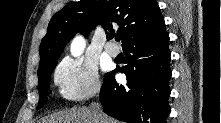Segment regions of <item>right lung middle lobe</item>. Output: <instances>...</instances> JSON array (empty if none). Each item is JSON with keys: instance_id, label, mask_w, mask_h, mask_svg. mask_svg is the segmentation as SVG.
<instances>
[{"instance_id": "dd1d6c3e", "label": "right lung middle lobe", "mask_w": 221, "mask_h": 123, "mask_svg": "<svg viewBox=\"0 0 221 123\" xmlns=\"http://www.w3.org/2000/svg\"><path fill=\"white\" fill-rule=\"evenodd\" d=\"M56 64L57 61L55 60L52 61L47 66H45L44 68L38 70V79H39L38 89L40 96L38 107L43 106L47 101V92L49 89L50 77L54 68L56 67Z\"/></svg>"}]
</instances>
